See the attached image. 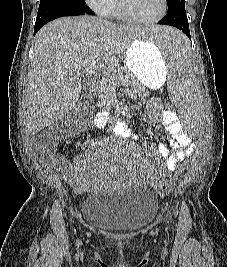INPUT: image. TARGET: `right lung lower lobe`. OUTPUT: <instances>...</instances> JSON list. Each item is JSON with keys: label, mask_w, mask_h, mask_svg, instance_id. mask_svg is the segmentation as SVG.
Listing matches in <instances>:
<instances>
[{"label": "right lung lower lobe", "mask_w": 227, "mask_h": 267, "mask_svg": "<svg viewBox=\"0 0 227 267\" xmlns=\"http://www.w3.org/2000/svg\"><path fill=\"white\" fill-rule=\"evenodd\" d=\"M95 13L87 6L49 5L40 4L34 26V35L46 23L63 16H77Z\"/></svg>", "instance_id": "right-lung-lower-lobe-1"}]
</instances>
